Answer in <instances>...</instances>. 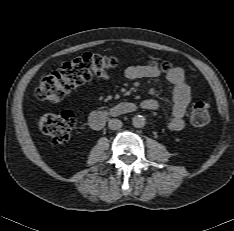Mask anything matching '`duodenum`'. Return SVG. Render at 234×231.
Returning a JSON list of instances; mask_svg holds the SVG:
<instances>
[{
  "label": "duodenum",
  "instance_id": "duodenum-1",
  "mask_svg": "<svg viewBox=\"0 0 234 231\" xmlns=\"http://www.w3.org/2000/svg\"><path fill=\"white\" fill-rule=\"evenodd\" d=\"M136 105L132 102H121L109 109L93 112L89 117V123L93 129H101L111 117H119L133 113Z\"/></svg>",
  "mask_w": 234,
  "mask_h": 231
}]
</instances>
